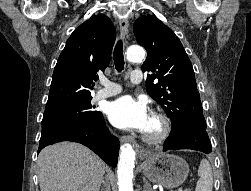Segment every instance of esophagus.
Segmentation results:
<instances>
[{"label": "esophagus", "mask_w": 251, "mask_h": 191, "mask_svg": "<svg viewBox=\"0 0 251 191\" xmlns=\"http://www.w3.org/2000/svg\"><path fill=\"white\" fill-rule=\"evenodd\" d=\"M119 26H120V34L122 38L127 39L128 38V33H129V21L127 18H122V20L119 21ZM121 143L126 144V143H134V137L131 136L130 134L121 136L120 138Z\"/></svg>", "instance_id": "34e87169"}]
</instances>
